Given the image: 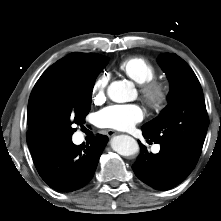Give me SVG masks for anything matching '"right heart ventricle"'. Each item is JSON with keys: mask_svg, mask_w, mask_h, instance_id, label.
<instances>
[{"mask_svg": "<svg viewBox=\"0 0 221 221\" xmlns=\"http://www.w3.org/2000/svg\"><path fill=\"white\" fill-rule=\"evenodd\" d=\"M119 68L130 79L142 85L153 80L157 75L155 65L144 57H131L122 61Z\"/></svg>", "mask_w": 221, "mask_h": 221, "instance_id": "1", "label": "right heart ventricle"}]
</instances>
